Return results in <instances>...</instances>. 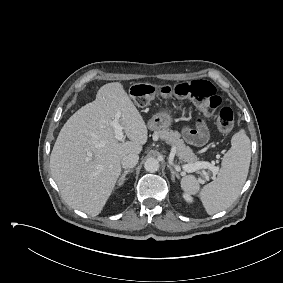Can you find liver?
Here are the masks:
<instances>
[{"label":"liver","mask_w":283,"mask_h":283,"mask_svg":"<svg viewBox=\"0 0 283 283\" xmlns=\"http://www.w3.org/2000/svg\"><path fill=\"white\" fill-rule=\"evenodd\" d=\"M118 117L130 141H118L111 121ZM148 130L119 82L102 86L95 101L62 127L50 156L52 177L62 198L90 216L101 213L121 174L124 156L140 154Z\"/></svg>","instance_id":"6515ba94"}]
</instances>
